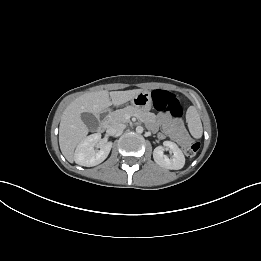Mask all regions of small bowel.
<instances>
[{"label": "small bowel", "instance_id": "c3829d8e", "mask_svg": "<svg viewBox=\"0 0 261 261\" xmlns=\"http://www.w3.org/2000/svg\"><path fill=\"white\" fill-rule=\"evenodd\" d=\"M162 124L161 137L168 136L179 145H186L190 142V136L188 135L183 123L181 121L172 120L168 117L160 118Z\"/></svg>", "mask_w": 261, "mask_h": 261}]
</instances>
